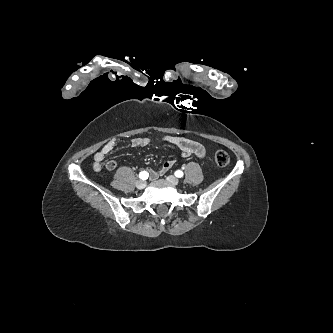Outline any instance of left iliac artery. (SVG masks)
Here are the masks:
<instances>
[{
  "label": "left iliac artery",
  "mask_w": 333,
  "mask_h": 333,
  "mask_svg": "<svg viewBox=\"0 0 333 333\" xmlns=\"http://www.w3.org/2000/svg\"><path fill=\"white\" fill-rule=\"evenodd\" d=\"M175 176L178 177V178H181L183 176V172L181 170H177L175 172Z\"/></svg>",
  "instance_id": "left-iliac-artery-1"
}]
</instances>
